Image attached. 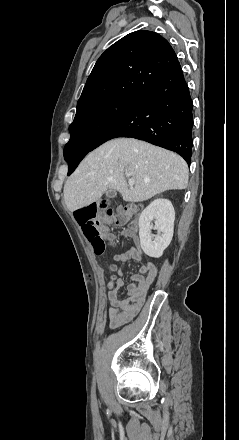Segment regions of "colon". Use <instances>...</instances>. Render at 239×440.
I'll return each mask as SVG.
<instances>
[{"label": "colon", "instance_id": "obj_1", "mask_svg": "<svg viewBox=\"0 0 239 440\" xmlns=\"http://www.w3.org/2000/svg\"><path fill=\"white\" fill-rule=\"evenodd\" d=\"M140 209L141 205L139 204L112 206L108 203H102L99 206L91 205L77 210L75 218L95 253L102 254L105 251L106 243L111 240V235L105 233L104 222L112 221L124 224ZM134 228L135 224L133 223L130 230Z\"/></svg>", "mask_w": 239, "mask_h": 440}]
</instances>
